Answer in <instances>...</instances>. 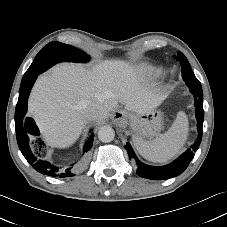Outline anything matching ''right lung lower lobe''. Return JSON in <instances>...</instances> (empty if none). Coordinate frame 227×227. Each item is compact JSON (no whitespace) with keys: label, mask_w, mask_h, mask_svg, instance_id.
I'll return each instance as SVG.
<instances>
[{"label":"right lung lower lobe","mask_w":227,"mask_h":227,"mask_svg":"<svg viewBox=\"0 0 227 227\" xmlns=\"http://www.w3.org/2000/svg\"><path fill=\"white\" fill-rule=\"evenodd\" d=\"M57 59H52L51 62H56ZM39 75L37 72L34 76L28 80L21 82V87L19 90V99L15 110V129L18 146L26 158V160L36 169L38 172L49 175V176H58V168L51 165L47 161H42L37 159L31 152L29 148V134H39V129L37 128L33 119L25 117L27 112V100L31 91V88ZM94 134L92 133L89 136V139L84 147V152L90 150L93 145ZM72 167L67 168L65 171L59 174V177H71L73 173L71 171Z\"/></svg>","instance_id":"1"}]
</instances>
